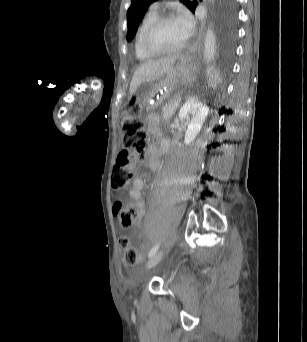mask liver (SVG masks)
Returning <instances> with one entry per match:
<instances>
[{"mask_svg":"<svg viewBox=\"0 0 307 342\" xmlns=\"http://www.w3.org/2000/svg\"><path fill=\"white\" fill-rule=\"evenodd\" d=\"M178 56L179 54H175V56H169V58L148 60L145 64H141V66L135 70L130 82L129 92L131 96L143 82H147V80H157V78H161L166 72H169Z\"/></svg>","mask_w":307,"mask_h":342,"instance_id":"liver-1","label":"liver"}]
</instances>
